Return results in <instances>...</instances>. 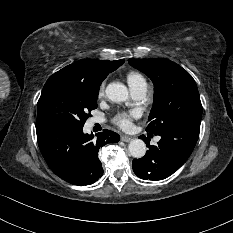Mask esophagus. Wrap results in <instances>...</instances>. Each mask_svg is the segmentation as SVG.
Masks as SVG:
<instances>
[{"instance_id": "esophagus-1", "label": "esophagus", "mask_w": 233, "mask_h": 233, "mask_svg": "<svg viewBox=\"0 0 233 233\" xmlns=\"http://www.w3.org/2000/svg\"><path fill=\"white\" fill-rule=\"evenodd\" d=\"M121 140H122L123 142H129V141L132 140V137L126 136V135H122V136H121Z\"/></svg>"}]
</instances>
